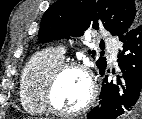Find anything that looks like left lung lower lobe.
I'll return each mask as SVG.
<instances>
[{"instance_id":"obj_1","label":"left lung lower lobe","mask_w":142,"mask_h":119,"mask_svg":"<svg viewBox=\"0 0 142 119\" xmlns=\"http://www.w3.org/2000/svg\"><path fill=\"white\" fill-rule=\"evenodd\" d=\"M119 40L123 42L117 59L122 75L115 82L105 78L99 105L87 114V119H117L129 112L142 113V24Z\"/></svg>"}]
</instances>
